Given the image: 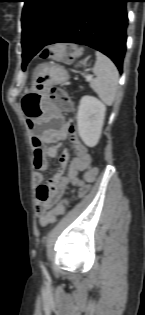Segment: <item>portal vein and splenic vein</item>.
Instances as JSON below:
<instances>
[{
	"instance_id": "obj_1",
	"label": "portal vein and splenic vein",
	"mask_w": 145,
	"mask_h": 315,
	"mask_svg": "<svg viewBox=\"0 0 145 315\" xmlns=\"http://www.w3.org/2000/svg\"><path fill=\"white\" fill-rule=\"evenodd\" d=\"M85 78H86V81H90V80H92L93 76L92 75H87Z\"/></svg>"
}]
</instances>
